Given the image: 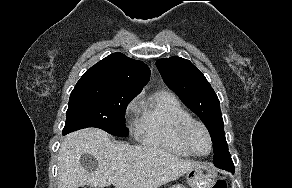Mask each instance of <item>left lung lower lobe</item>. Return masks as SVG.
Wrapping results in <instances>:
<instances>
[{
    "label": "left lung lower lobe",
    "instance_id": "left-lung-lower-lobe-1",
    "mask_svg": "<svg viewBox=\"0 0 292 188\" xmlns=\"http://www.w3.org/2000/svg\"><path fill=\"white\" fill-rule=\"evenodd\" d=\"M215 166L221 167V168H226V169H228V166L234 167L231 158L227 159L224 163H217V164H215Z\"/></svg>",
    "mask_w": 292,
    "mask_h": 188
}]
</instances>
